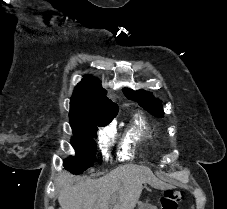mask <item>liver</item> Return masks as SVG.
I'll return each mask as SVG.
<instances>
[{
    "instance_id": "obj_1",
    "label": "liver",
    "mask_w": 227,
    "mask_h": 209,
    "mask_svg": "<svg viewBox=\"0 0 227 209\" xmlns=\"http://www.w3.org/2000/svg\"><path fill=\"white\" fill-rule=\"evenodd\" d=\"M153 179L155 175L148 167L122 165L101 179L74 185L72 175L65 171L56 179L59 205L61 209H109L111 201L114 209H134L142 193L143 181Z\"/></svg>"
}]
</instances>
